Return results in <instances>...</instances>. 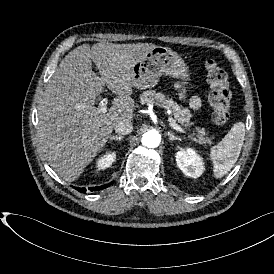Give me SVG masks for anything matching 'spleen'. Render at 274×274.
<instances>
[{"label": "spleen", "mask_w": 274, "mask_h": 274, "mask_svg": "<svg viewBox=\"0 0 274 274\" xmlns=\"http://www.w3.org/2000/svg\"><path fill=\"white\" fill-rule=\"evenodd\" d=\"M245 138V125L235 123L221 142L211 148L210 157L216 178L223 177L234 166L240 155Z\"/></svg>", "instance_id": "3e777b00"}]
</instances>
